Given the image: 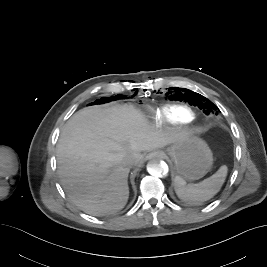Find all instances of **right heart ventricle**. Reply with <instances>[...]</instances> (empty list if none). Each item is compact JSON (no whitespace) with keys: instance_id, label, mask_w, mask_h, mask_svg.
<instances>
[{"instance_id":"obj_1","label":"right heart ventricle","mask_w":267,"mask_h":267,"mask_svg":"<svg viewBox=\"0 0 267 267\" xmlns=\"http://www.w3.org/2000/svg\"><path fill=\"white\" fill-rule=\"evenodd\" d=\"M151 114L156 121H168L177 125L188 124L194 118L189 107L179 104L159 106L153 109Z\"/></svg>"}]
</instances>
